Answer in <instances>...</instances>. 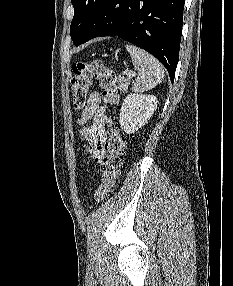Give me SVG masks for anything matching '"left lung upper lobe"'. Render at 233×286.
<instances>
[{
  "label": "left lung upper lobe",
  "instance_id": "1",
  "mask_svg": "<svg viewBox=\"0 0 233 286\" xmlns=\"http://www.w3.org/2000/svg\"><path fill=\"white\" fill-rule=\"evenodd\" d=\"M103 0H71L74 17L70 26V35L75 42L84 32Z\"/></svg>",
  "mask_w": 233,
  "mask_h": 286
}]
</instances>
